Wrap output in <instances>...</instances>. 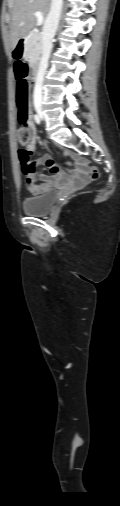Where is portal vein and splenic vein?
Segmentation results:
<instances>
[{"mask_svg":"<svg viewBox=\"0 0 120 506\" xmlns=\"http://www.w3.org/2000/svg\"><path fill=\"white\" fill-rule=\"evenodd\" d=\"M35 16L37 18V25L40 26L44 22V17L41 12L37 11L35 12Z\"/></svg>","mask_w":120,"mask_h":506,"instance_id":"18ae733b","label":"portal vein and splenic vein"}]
</instances>
